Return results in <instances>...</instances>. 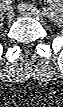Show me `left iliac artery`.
<instances>
[{"mask_svg": "<svg viewBox=\"0 0 63 107\" xmlns=\"http://www.w3.org/2000/svg\"><path fill=\"white\" fill-rule=\"evenodd\" d=\"M42 14L44 16H47V17H50L51 16V9L50 8H44L43 11H42Z\"/></svg>", "mask_w": 63, "mask_h": 107, "instance_id": "obj_1", "label": "left iliac artery"}]
</instances>
